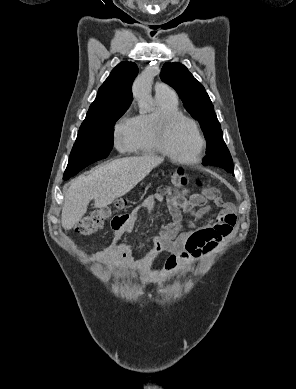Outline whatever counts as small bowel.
<instances>
[{
    "label": "small bowel",
    "instance_id": "obj_1",
    "mask_svg": "<svg viewBox=\"0 0 296 389\" xmlns=\"http://www.w3.org/2000/svg\"><path fill=\"white\" fill-rule=\"evenodd\" d=\"M166 198L171 221L154 239L156 251L171 253L167 261V270L173 271L180 265L191 264L211 253L222 238L229 236L236 226V212L233 204L222 200L216 192L208 195L185 194L171 187H161L155 196L147 197L140 206L124 216L122 223H111L113 235L109 244L98 251L94 258L104 264L121 266L131 260V251L126 243L127 236L143 211L154 210L157 201ZM214 201L220 207L215 219L208 220L203 226L196 227L188 221L184 230L183 213L199 220L209 211L208 202Z\"/></svg>",
    "mask_w": 296,
    "mask_h": 389
}]
</instances>
